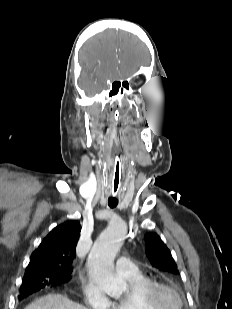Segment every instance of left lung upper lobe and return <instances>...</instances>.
Listing matches in <instances>:
<instances>
[{"label":"left lung upper lobe","instance_id":"5c2ea615","mask_svg":"<svg viewBox=\"0 0 232 309\" xmlns=\"http://www.w3.org/2000/svg\"><path fill=\"white\" fill-rule=\"evenodd\" d=\"M145 243L147 246V257L154 267L175 275L179 274L169 249L156 233H147L145 235Z\"/></svg>","mask_w":232,"mask_h":309}]
</instances>
